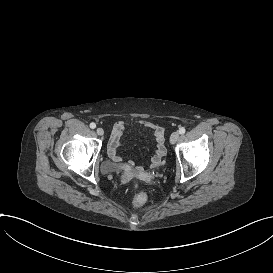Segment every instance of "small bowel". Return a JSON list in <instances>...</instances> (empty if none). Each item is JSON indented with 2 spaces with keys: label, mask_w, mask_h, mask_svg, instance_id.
Segmentation results:
<instances>
[{
  "label": "small bowel",
  "mask_w": 273,
  "mask_h": 273,
  "mask_svg": "<svg viewBox=\"0 0 273 273\" xmlns=\"http://www.w3.org/2000/svg\"><path fill=\"white\" fill-rule=\"evenodd\" d=\"M143 125L146 128L153 130L155 134V140L158 143L156 146L154 156L152 157V160H151V166L153 168H157L161 164H164L166 162L165 158L168 155L167 150L164 149V145L162 144L166 140L165 130L162 126L160 125L155 126L151 122H144ZM127 126L128 124L123 121L116 122L113 125L111 134H110L109 143H108V155L112 161L120 164L124 170L140 173L143 171L142 166H137L133 162H125V163L122 162V157L119 154V149L122 145L121 138Z\"/></svg>",
  "instance_id": "small-bowel-1"
}]
</instances>
